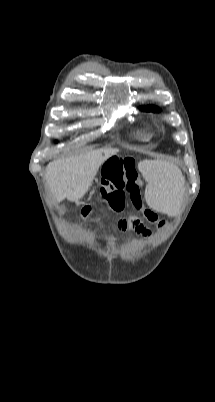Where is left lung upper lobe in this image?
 <instances>
[{"mask_svg":"<svg viewBox=\"0 0 215 402\" xmlns=\"http://www.w3.org/2000/svg\"><path fill=\"white\" fill-rule=\"evenodd\" d=\"M141 109L145 110V111L159 112V109L157 107L153 106V105H148V106H145V107H141Z\"/></svg>","mask_w":215,"mask_h":402,"instance_id":"obj_1","label":"left lung upper lobe"}]
</instances>
